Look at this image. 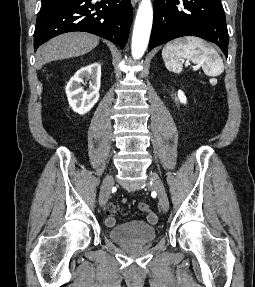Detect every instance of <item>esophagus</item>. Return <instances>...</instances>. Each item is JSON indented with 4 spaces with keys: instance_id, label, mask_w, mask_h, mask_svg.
<instances>
[{
    "instance_id": "34e87169",
    "label": "esophagus",
    "mask_w": 255,
    "mask_h": 287,
    "mask_svg": "<svg viewBox=\"0 0 255 287\" xmlns=\"http://www.w3.org/2000/svg\"><path fill=\"white\" fill-rule=\"evenodd\" d=\"M137 2H138V0H131V3L133 6H135Z\"/></svg>"
}]
</instances>
